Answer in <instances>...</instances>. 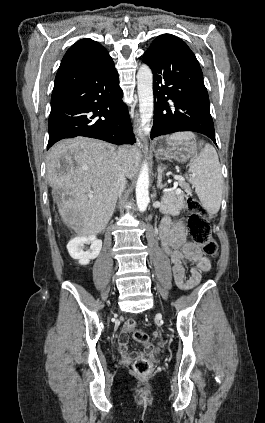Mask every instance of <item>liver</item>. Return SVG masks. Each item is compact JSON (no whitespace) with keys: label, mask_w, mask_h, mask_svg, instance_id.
<instances>
[{"label":"liver","mask_w":265,"mask_h":423,"mask_svg":"<svg viewBox=\"0 0 265 423\" xmlns=\"http://www.w3.org/2000/svg\"><path fill=\"white\" fill-rule=\"evenodd\" d=\"M139 161L133 146L116 148L87 137L62 140L47 155L49 185L63 222L78 236H90L105 229L118 196L119 165L125 164L133 177Z\"/></svg>","instance_id":"liver-1"}]
</instances>
